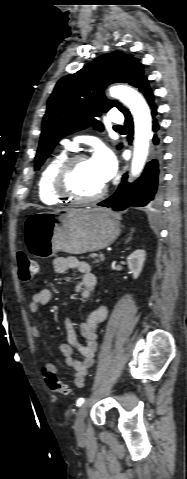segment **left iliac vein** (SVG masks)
I'll return each mask as SVG.
<instances>
[{
	"mask_svg": "<svg viewBox=\"0 0 187 479\" xmlns=\"http://www.w3.org/2000/svg\"><path fill=\"white\" fill-rule=\"evenodd\" d=\"M88 413V405L83 404L77 411L76 420L74 424L75 433L77 436H82L85 432V418Z\"/></svg>",
	"mask_w": 187,
	"mask_h": 479,
	"instance_id": "left-iliac-vein-1",
	"label": "left iliac vein"
}]
</instances>
